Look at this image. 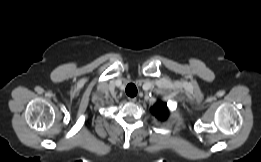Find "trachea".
Here are the masks:
<instances>
[{"label":"trachea","mask_w":261,"mask_h":162,"mask_svg":"<svg viewBox=\"0 0 261 162\" xmlns=\"http://www.w3.org/2000/svg\"><path fill=\"white\" fill-rule=\"evenodd\" d=\"M126 94L130 97H135L137 95V88L135 84H128L126 87Z\"/></svg>","instance_id":"1"}]
</instances>
